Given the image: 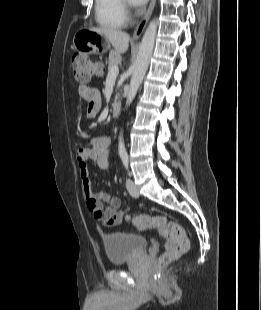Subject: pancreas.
I'll list each match as a JSON object with an SVG mask.
<instances>
[{
    "label": "pancreas",
    "instance_id": "obj_1",
    "mask_svg": "<svg viewBox=\"0 0 261 310\" xmlns=\"http://www.w3.org/2000/svg\"><path fill=\"white\" fill-rule=\"evenodd\" d=\"M121 62V56L116 51H111L109 53V61H108V69H110L113 66H118V64ZM118 95H116L115 100H117Z\"/></svg>",
    "mask_w": 261,
    "mask_h": 310
}]
</instances>
